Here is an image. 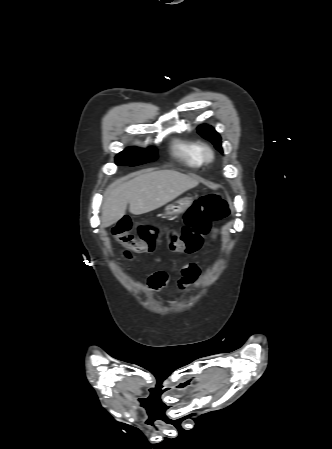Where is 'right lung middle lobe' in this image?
I'll return each instance as SVG.
<instances>
[{
    "label": "right lung middle lobe",
    "instance_id": "obj_1",
    "mask_svg": "<svg viewBox=\"0 0 332 449\" xmlns=\"http://www.w3.org/2000/svg\"><path fill=\"white\" fill-rule=\"evenodd\" d=\"M156 158L155 148H148L147 150L127 148L116 156L115 161L117 165L136 166L154 161Z\"/></svg>",
    "mask_w": 332,
    "mask_h": 449
}]
</instances>
